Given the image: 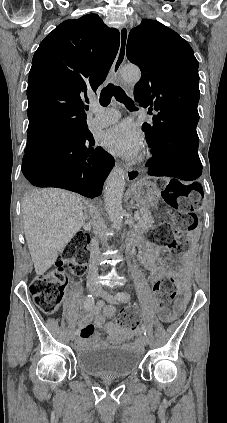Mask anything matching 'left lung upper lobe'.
Listing matches in <instances>:
<instances>
[{
	"label": "left lung upper lobe",
	"instance_id": "5c2ea615",
	"mask_svg": "<svg viewBox=\"0 0 227 423\" xmlns=\"http://www.w3.org/2000/svg\"><path fill=\"white\" fill-rule=\"evenodd\" d=\"M127 57L142 73L134 87L135 102L158 111L155 125L199 120L198 61L186 40L156 20H143L129 33ZM148 126H142L145 136Z\"/></svg>",
	"mask_w": 227,
	"mask_h": 423
}]
</instances>
